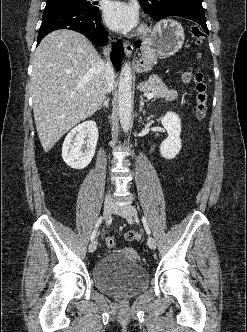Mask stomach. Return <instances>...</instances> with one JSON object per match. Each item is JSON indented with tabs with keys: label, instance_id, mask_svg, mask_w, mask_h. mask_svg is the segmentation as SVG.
<instances>
[{
	"label": "stomach",
	"instance_id": "1",
	"mask_svg": "<svg viewBox=\"0 0 247 332\" xmlns=\"http://www.w3.org/2000/svg\"><path fill=\"white\" fill-rule=\"evenodd\" d=\"M184 29L172 19L160 21L142 41V58L137 62L136 71H148L158 58L176 54L184 43Z\"/></svg>",
	"mask_w": 247,
	"mask_h": 332
}]
</instances>
